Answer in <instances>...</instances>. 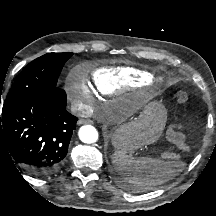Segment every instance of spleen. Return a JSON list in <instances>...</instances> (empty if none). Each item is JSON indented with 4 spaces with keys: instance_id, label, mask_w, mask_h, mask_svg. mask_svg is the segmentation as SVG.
<instances>
[{
    "instance_id": "obj_1",
    "label": "spleen",
    "mask_w": 216,
    "mask_h": 216,
    "mask_svg": "<svg viewBox=\"0 0 216 216\" xmlns=\"http://www.w3.org/2000/svg\"><path fill=\"white\" fill-rule=\"evenodd\" d=\"M112 162L125 182L138 189L150 190L175 177L182 168L156 158H134L122 151H115Z\"/></svg>"
}]
</instances>
